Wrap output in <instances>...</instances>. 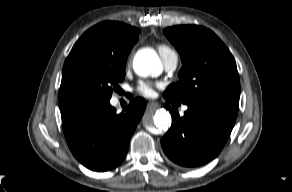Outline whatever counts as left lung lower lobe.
I'll return each instance as SVG.
<instances>
[{
    "instance_id": "obj_1",
    "label": "left lung lower lobe",
    "mask_w": 292,
    "mask_h": 192,
    "mask_svg": "<svg viewBox=\"0 0 292 192\" xmlns=\"http://www.w3.org/2000/svg\"><path fill=\"white\" fill-rule=\"evenodd\" d=\"M164 106L172 115V125L161 145L166 156L183 167L201 166L214 159L228 140L238 113V107L231 105L202 103L188 105L180 117L169 104Z\"/></svg>"
}]
</instances>
